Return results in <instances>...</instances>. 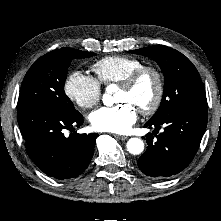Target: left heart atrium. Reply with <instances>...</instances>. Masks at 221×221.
<instances>
[{"label": "left heart atrium", "instance_id": "obj_1", "mask_svg": "<svg viewBox=\"0 0 221 221\" xmlns=\"http://www.w3.org/2000/svg\"><path fill=\"white\" fill-rule=\"evenodd\" d=\"M136 119V108L128 102L99 108L90 115L95 130L120 134L128 132Z\"/></svg>", "mask_w": 221, "mask_h": 221}]
</instances>
